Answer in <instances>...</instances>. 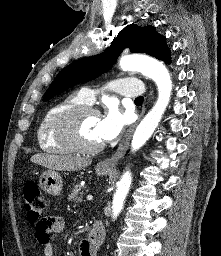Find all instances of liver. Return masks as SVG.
I'll return each mask as SVG.
<instances>
[{
	"label": "liver",
	"mask_w": 221,
	"mask_h": 256,
	"mask_svg": "<svg viewBox=\"0 0 221 256\" xmlns=\"http://www.w3.org/2000/svg\"><path fill=\"white\" fill-rule=\"evenodd\" d=\"M31 162L39 164L50 170L76 171L91 164V160L78 156L53 155L38 153L31 157Z\"/></svg>",
	"instance_id": "1"
}]
</instances>
